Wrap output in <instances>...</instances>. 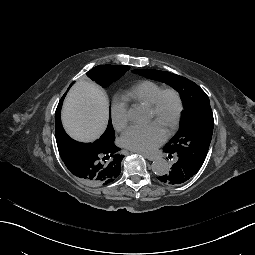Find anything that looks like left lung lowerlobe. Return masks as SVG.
<instances>
[{
    "label": "left lung lower lobe",
    "instance_id": "left-lung-lower-lobe-1",
    "mask_svg": "<svg viewBox=\"0 0 255 255\" xmlns=\"http://www.w3.org/2000/svg\"><path fill=\"white\" fill-rule=\"evenodd\" d=\"M172 170L169 174L164 176L160 174L158 179L164 183L171 184H183L188 181L191 177H195L198 173V169L190 162H186L179 157L174 159ZM179 176V177H178Z\"/></svg>",
    "mask_w": 255,
    "mask_h": 255
}]
</instances>
